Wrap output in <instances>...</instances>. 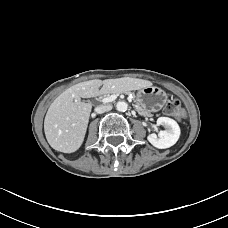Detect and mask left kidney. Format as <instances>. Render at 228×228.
<instances>
[{
    "instance_id": "obj_1",
    "label": "left kidney",
    "mask_w": 228,
    "mask_h": 228,
    "mask_svg": "<svg viewBox=\"0 0 228 228\" xmlns=\"http://www.w3.org/2000/svg\"><path fill=\"white\" fill-rule=\"evenodd\" d=\"M157 125L165 126L166 130L160 131L158 136L154 133L148 135V141L159 149H166L173 146L180 136V128L177 122L168 117H159L157 119Z\"/></svg>"
}]
</instances>
